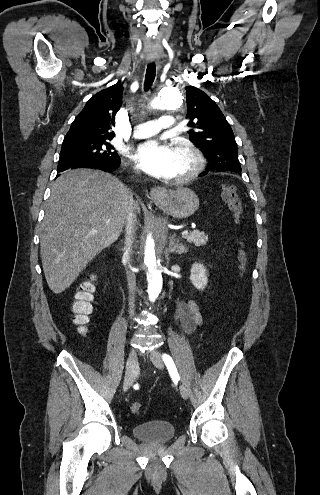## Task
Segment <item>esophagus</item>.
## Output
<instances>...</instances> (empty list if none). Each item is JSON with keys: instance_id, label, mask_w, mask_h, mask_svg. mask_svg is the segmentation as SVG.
I'll list each match as a JSON object with an SVG mask.
<instances>
[{"instance_id": "esophagus-1", "label": "esophagus", "mask_w": 320, "mask_h": 495, "mask_svg": "<svg viewBox=\"0 0 320 495\" xmlns=\"http://www.w3.org/2000/svg\"><path fill=\"white\" fill-rule=\"evenodd\" d=\"M150 62H156L157 63V61H155V60H150ZM150 195H151V198L153 201H161L167 195V190L163 187H154L151 189Z\"/></svg>"}]
</instances>
